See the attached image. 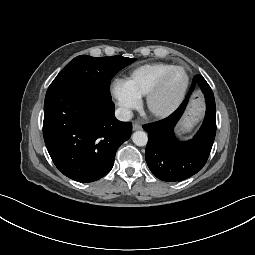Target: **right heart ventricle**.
Segmentation results:
<instances>
[{
	"mask_svg": "<svg viewBox=\"0 0 255 255\" xmlns=\"http://www.w3.org/2000/svg\"><path fill=\"white\" fill-rule=\"evenodd\" d=\"M172 67L174 65L168 63L145 64L135 68L126 82L138 96H145Z\"/></svg>",
	"mask_w": 255,
	"mask_h": 255,
	"instance_id": "e07e8e85",
	"label": "right heart ventricle"
}]
</instances>
